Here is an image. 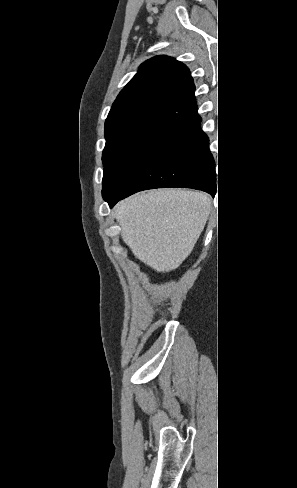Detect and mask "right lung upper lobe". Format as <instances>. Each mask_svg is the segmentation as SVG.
<instances>
[{
	"mask_svg": "<svg viewBox=\"0 0 297 488\" xmlns=\"http://www.w3.org/2000/svg\"><path fill=\"white\" fill-rule=\"evenodd\" d=\"M189 69L167 56L139 67L123 88L105 121V138L131 130L178 131L199 118Z\"/></svg>",
	"mask_w": 297,
	"mask_h": 488,
	"instance_id": "right-lung-upper-lobe-1",
	"label": "right lung upper lobe"
}]
</instances>
